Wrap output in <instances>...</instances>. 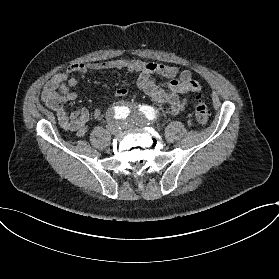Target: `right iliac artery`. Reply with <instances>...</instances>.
I'll list each match as a JSON object with an SVG mask.
<instances>
[{
	"label": "right iliac artery",
	"instance_id": "obj_1",
	"mask_svg": "<svg viewBox=\"0 0 279 279\" xmlns=\"http://www.w3.org/2000/svg\"><path fill=\"white\" fill-rule=\"evenodd\" d=\"M129 115V110L125 106L114 107L110 111V116L114 120H121L127 118Z\"/></svg>",
	"mask_w": 279,
	"mask_h": 279
}]
</instances>
